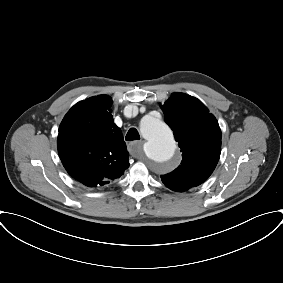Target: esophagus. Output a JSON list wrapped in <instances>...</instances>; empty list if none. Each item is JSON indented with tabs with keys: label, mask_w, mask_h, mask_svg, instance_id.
Masks as SVG:
<instances>
[{
	"label": "esophagus",
	"mask_w": 283,
	"mask_h": 283,
	"mask_svg": "<svg viewBox=\"0 0 283 283\" xmlns=\"http://www.w3.org/2000/svg\"><path fill=\"white\" fill-rule=\"evenodd\" d=\"M143 141H134L128 144V151L133 156H139L142 150Z\"/></svg>",
	"instance_id": "34e87169"
}]
</instances>
